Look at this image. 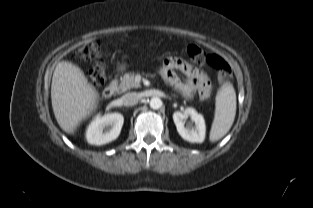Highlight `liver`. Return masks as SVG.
Wrapping results in <instances>:
<instances>
[{"mask_svg":"<svg viewBox=\"0 0 313 208\" xmlns=\"http://www.w3.org/2000/svg\"><path fill=\"white\" fill-rule=\"evenodd\" d=\"M51 100L59 126L72 133L94 110L96 93L77 66L63 61L57 64L53 73Z\"/></svg>","mask_w":313,"mask_h":208,"instance_id":"6515ba94","label":"liver"}]
</instances>
